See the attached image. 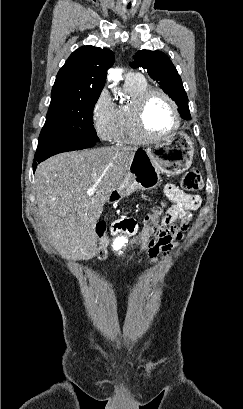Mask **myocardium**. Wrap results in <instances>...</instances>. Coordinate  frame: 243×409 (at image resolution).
I'll use <instances>...</instances> for the list:
<instances>
[{
  "instance_id": "1",
  "label": "myocardium",
  "mask_w": 243,
  "mask_h": 409,
  "mask_svg": "<svg viewBox=\"0 0 243 409\" xmlns=\"http://www.w3.org/2000/svg\"><path fill=\"white\" fill-rule=\"evenodd\" d=\"M153 95H160L163 97L169 103L174 116V126L168 132L161 135L151 134L147 130L144 122L145 108L147 102ZM129 118L136 137L140 141L145 142H156L163 140L175 134L181 126V116L176 102L169 94L159 88H148L146 91L141 93L130 105Z\"/></svg>"
}]
</instances>
